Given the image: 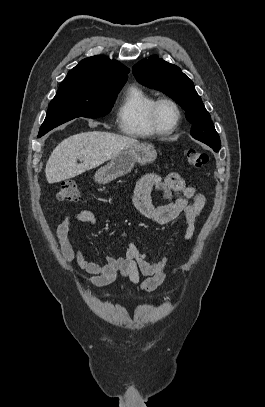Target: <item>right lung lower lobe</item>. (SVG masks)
Listing matches in <instances>:
<instances>
[{"mask_svg": "<svg viewBox=\"0 0 265 407\" xmlns=\"http://www.w3.org/2000/svg\"><path fill=\"white\" fill-rule=\"evenodd\" d=\"M41 136H43V135H38V137H41Z\"/></svg>", "mask_w": 265, "mask_h": 407, "instance_id": "1", "label": "right lung lower lobe"}]
</instances>
